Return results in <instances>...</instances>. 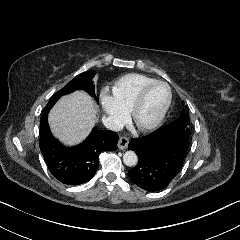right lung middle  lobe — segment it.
Instances as JSON below:
<instances>
[{"instance_id":"obj_1","label":"right lung middle lobe","mask_w":240,"mask_h":240,"mask_svg":"<svg viewBox=\"0 0 240 240\" xmlns=\"http://www.w3.org/2000/svg\"><path fill=\"white\" fill-rule=\"evenodd\" d=\"M95 75V71H86L82 73L81 75L75 77L73 80H71L66 86H64L61 90L56 92L47 103L46 107L43 110L42 117L47 115L50 111V109L53 107V105L57 102V100L66 94L72 93L75 90H84L87 93H89L91 96H93L97 102L98 98L95 96L94 93V85L92 82V78Z\"/></svg>"}]
</instances>
